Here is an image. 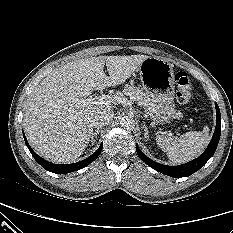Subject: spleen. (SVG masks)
<instances>
[{
  "label": "spleen",
  "instance_id": "1",
  "mask_svg": "<svg viewBox=\"0 0 233 233\" xmlns=\"http://www.w3.org/2000/svg\"><path fill=\"white\" fill-rule=\"evenodd\" d=\"M209 141V127L200 132H187L179 138L160 135L156 138L157 145L167 153L174 163L188 162L202 153Z\"/></svg>",
  "mask_w": 233,
  "mask_h": 233
}]
</instances>
